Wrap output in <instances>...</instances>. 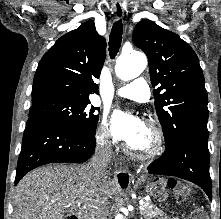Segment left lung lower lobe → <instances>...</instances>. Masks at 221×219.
Instances as JSON below:
<instances>
[{
    "mask_svg": "<svg viewBox=\"0 0 221 219\" xmlns=\"http://www.w3.org/2000/svg\"><path fill=\"white\" fill-rule=\"evenodd\" d=\"M148 172L193 182L211 200L208 136L186 132L177 143L166 146L165 152L148 166Z\"/></svg>",
    "mask_w": 221,
    "mask_h": 219,
    "instance_id": "0a47b994",
    "label": "left lung lower lobe"
}]
</instances>
